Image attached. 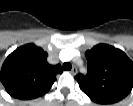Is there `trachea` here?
Here are the masks:
<instances>
[{"instance_id":"obj_1","label":"trachea","mask_w":133,"mask_h":106,"mask_svg":"<svg viewBox=\"0 0 133 106\" xmlns=\"http://www.w3.org/2000/svg\"><path fill=\"white\" fill-rule=\"evenodd\" d=\"M71 68H72V66H71V64L69 62H65L63 64V69L64 70H71Z\"/></svg>"}]
</instances>
